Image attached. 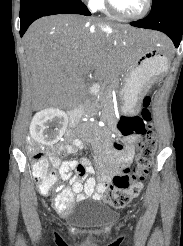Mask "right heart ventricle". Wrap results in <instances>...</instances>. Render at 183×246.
I'll return each instance as SVG.
<instances>
[{
  "label": "right heart ventricle",
  "mask_w": 183,
  "mask_h": 246,
  "mask_svg": "<svg viewBox=\"0 0 183 246\" xmlns=\"http://www.w3.org/2000/svg\"><path fill=\"white\" fill-rule=\"evenodd\" d=\"M96 9H99V10L105 12V13H108V10H107V8H106V6H105L103 0L100 2V4L97 6Z\"/></svg>",
  "instance_id": "e07e8e85"
}]
</instances>
